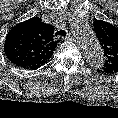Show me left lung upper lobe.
I'll return each instance as SVG.
<instances>
[{
	"instance_id": "left-lung-upper-lobe-1",
	"label": "left lung upper lobe",
	"mask_w": 118,
	"mask_h": 118,
	"mask_svg": "<svg viewBox=\"0 0 118 118\" xmlns=\"http://www.w3.org/2000/svg\"><path fill=\"white\" fill-rule=\"evenodd\" d=\"M94 28L106 57L100 72L108 75L115 74L118 72V28L102 20H95Z\"/></svg>"
}]
</instances>
